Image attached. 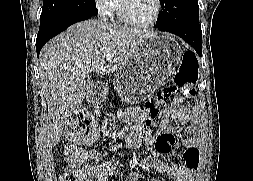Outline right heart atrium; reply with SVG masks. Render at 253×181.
Returning a JSON list of instances; mask_svg holds the SVG:
<instances>
[{"instance_id":"obj_1","label":"right heart atrium","mask_w":253,"mask_h":181,"mask_svg":"<svg viewBox=\"0 0 253 181\" xmlns=\"http://www.w3.org/2000/svg\"><path fill=\"white\" fill-rule=\"evenodd\" d=\"M117 1L118 0H93V4L99 16L108 20L115 14Z\"/></svg>"}]
</instances>
